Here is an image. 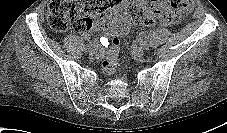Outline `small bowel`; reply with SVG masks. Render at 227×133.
Here are the masks:
<instances>
[{
  "mask_svg": "<svg viewBox=\"0 0 227 133\" xmlns=\"http://www.w3.org/2000/svg\"><path fill=\"white\" fill-rule=\"evenodd\" d=\"M138 3L145 8L144 0H120L117 8L108 17L100 18L95 24L96 30H102L108 36L122 37L129 33L131 28L132 19L129 14V5ZM162 5H166L165 0H160ZM165 26H170L178 22V18L167 13L166 16L160 20ZM153 24V23H152ZM83 38L90 40L92 38L91 31L87 30L83 32ZM101 59L104 58L103 54L99 56Z\"/></svg>",
  "mask_w": 227,
  "mask_h": 133,
  "instance_id": "obj_1",
  "label": "small bowel"
}]
</instances>
